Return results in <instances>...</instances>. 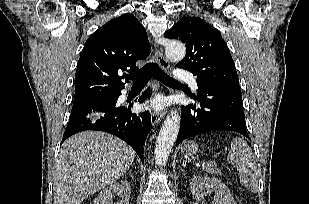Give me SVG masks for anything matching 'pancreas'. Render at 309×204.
<instances>
[{
  "label": "pancreas",
  "mask_w": 309,
  "mask_h": 204,
  "mask_svg": "<svg viewBox=\"0 0 309 204\" xmlns=\"http://www.w3.org/2000/svg\"><path fill=\"white\" fill-rule=\"evenodd\" d=\"M203 170L210 174L221 175V171L217 169L215 163H207L206 165L203 166Z\"/></svg>",
  "instance_id": "cf45deb5"
}]
</instances>
